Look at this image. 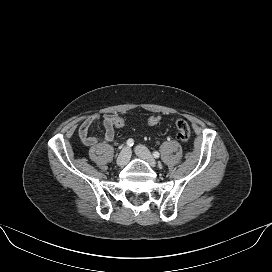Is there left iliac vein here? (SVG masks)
<instances>
[{
    "label": "left iliac vein",
    "instance_id": "4c4485c4",
    "mask_svg": "<svg viewBox=\"0 0 272 272\" xmlns=\"http://www.w3.org/2000/svg\"><path fill=\"white\" fill-rule=\"evenodd\" d=\"M135 153L137 154L138 157L146 161L151 167L156 166L155 159L153 158L152 154L145 146L143 145L136 146Z\"/></svg>",
    "mask_w": 272,
    "mask_h": 272
}]
</instances>
